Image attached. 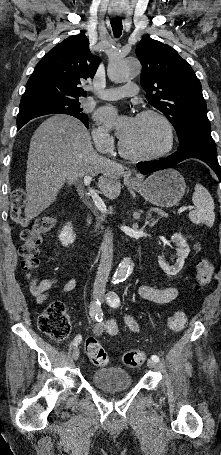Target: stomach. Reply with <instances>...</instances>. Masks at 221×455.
<instances>
[{"label": "stomach", "instance_id": "0dacf381", "mask_svg": "<svg viewBox=\"0 0 221 455\" xmlns=\"http://www.w3.org/2000/svg\"><path fill=\"white\" fill-rule=\"evenodd\" d=\"M132 187L148 202L160 207H172L184 196L186 183L177 170L166 169L132 183Z\"/></svg>", "mask_w": 221, "mask_h": 455}]
</instances>
